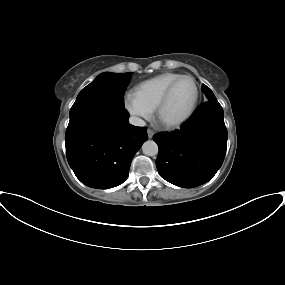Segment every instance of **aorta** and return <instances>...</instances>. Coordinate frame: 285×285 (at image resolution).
I'll return each mask as SVG.
<instances>
[{
	"mask_svg": "<svg viewBox=\"0 0 285 285\" xmlns=\"http://www.w3.org/2000/svg\"><path fill=\"white\" fill-rule=\"evenodd\" d=\"M142 151L147 156H155L158 154V145L153 140H148L143 143Z\"/></svg>",
	"mask_w": 285,
	"mask_h": 285,
	"instance_id": "762f6f07",
	"label": "aorta"
}]
</instances>
